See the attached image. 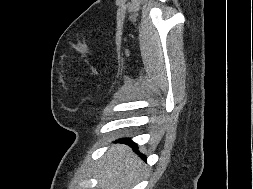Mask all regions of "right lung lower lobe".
<instances>
[{
	"label": "right lung lower lobe",
	"mask_w": 253,
	"mask_h": 189,
	"mask_svg": "<svg viewBox=\"0 0 253 189\" xmlns=\"http://www.w3.org/2000/svg\"><path fill=\"white\" fill-rule=\"evenodd\" d=\"M122 142H126V143H128V144L132 145V146H133V148H134V150H135V151H137V146H136V144H135V143H133L131 140H129V139H125V140H122ZM141 157H142L143 159H146V158H145V156H142V155H141Z\"/></svg>",
	"instance_id": "1"
}]
</instances>
